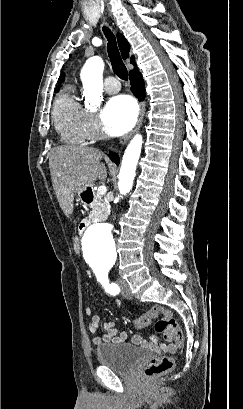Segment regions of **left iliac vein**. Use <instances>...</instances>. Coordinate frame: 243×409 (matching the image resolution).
Wrapping results in <instances>:
<instances>
[{
	"label": "left iliac vein",
	"mask_w": 243,
	"mask_h": 409,
	"mask_svg": "<svg viewBox=\"0 0 243 409\" xmlns=\"http://www.w3.org/2000/svg\"><path fill=\"white\" fill-rule=\"evenodd\" d=\"M117 283L120 287L121 293L125 298L130 299L131 298V292H130V288L127 284V282L123 279H118Z\"/></svg>",
	"instance_id": "obj_1"
}]
</instances>
